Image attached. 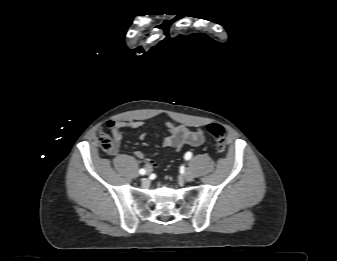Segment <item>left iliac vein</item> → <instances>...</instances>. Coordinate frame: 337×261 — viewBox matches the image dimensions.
Listing matches in <instances>:
<instances>
[{
  "label": "left iliac vein",
  "instance_id": "obj_1",
  "mask_svg": "<svg viewBox=\"0 0 337 261\" xmlns=\"http://www.w3.org/2000/svg\"><path fill=\"white\" fill-rule=\"evenodd\" d=\"M184 178L187 181H192L194 179V174L190 168H187L185 173H184Z\"/></svg>",
  "mask_w": 337,
  "mask_h": 261
}]
</instances>
